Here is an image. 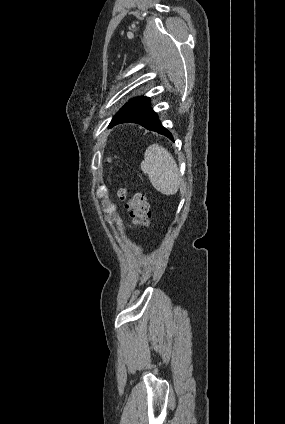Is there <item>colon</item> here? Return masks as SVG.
Listing matches in <instances>:
<instances>
[{"label":"colon","mask_w":285,"mask_h":424,"mask_svg":"<svg viewBox=\"0 0 285 424\" xmlns=\"http://www.w3.org/2000/svg\"><path fill=\"white\" fill-rule=\"evenodd\" d=\"M118 197L124 203L134 226L144 225L147 222L151 212L144 194L136 193L130 196L126 190L121 189L118 192Z\"/></svg>","instance_id":"colon-1"}]
</instances>
